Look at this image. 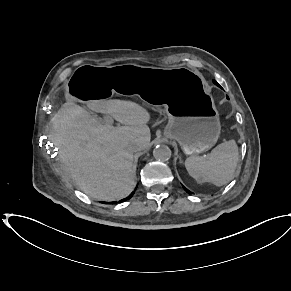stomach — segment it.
I'll return each instance as SVG.
<instances>
[{"instance_id":"1","label":"stomach","mask_w":291,"mask_h":291,"mask_svg":"<svg viewBox=\"0 0 291 291\" xmlns=\"http://www.w3.org/2000/svg\"><path fill=\"white\" fill-rule=\"evenodd\" d=\"M111 93H138L148 102L163 104L169 118L164 134L176 140L186 155L209 150L219 138V114L204 77L197 71L135 64L83 66L72 76L67 98L87 102L105 99Z\"/></svg>"}]
</instances>
